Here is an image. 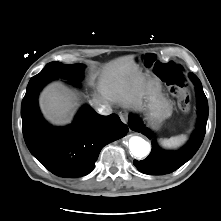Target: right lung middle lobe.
<instances>
[{"mask_svg":"<svg viewBox=\"0 0 221 221\" xmlns=\"http://www.w3.org/2000/svg\"><path fill=\"white\" fill-rule=\"evenodd\" d=\"M83 64L63 65L60 62H50L38 74V76L61 77L69 81H78L83 78Z\"/></svg>","mask_w":221,"mask_h":221,"instance_id":"obj_1","label":"right lung middle lobe"}]
</instances>
